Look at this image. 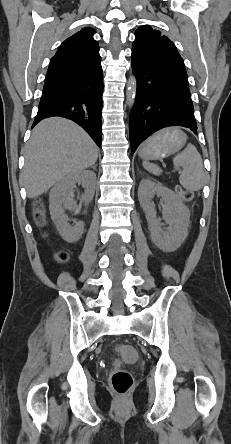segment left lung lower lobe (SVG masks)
Returning <instances> with one entry per match:
<instances>
[{
    "mask_svg": "<svg viewBox=\"0 0 231 444\" xmlns=\"http://www.w3.org/2000/svg\"><path fill=\"white\" fill-rule=\"evenodd\" d=\"M131 66L137 81L129 127L131 152L164 127L184 126L196 133L188 76L167 63L134 55L131 56Z\"/></svg>",
    "mask_w": 231,
    "mask_h": 444,
    "instance_id": "1",
    "label": "left lung lower lobe"
}]
</instances>
